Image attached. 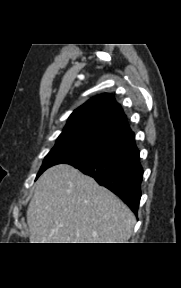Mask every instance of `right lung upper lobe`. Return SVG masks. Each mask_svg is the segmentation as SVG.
Instances as JSON below:
<instances>
[{
	"instance_id": "cb5924a9",
	"label": "right lung upper lobe",
	"mask_w": 181,
	"mask_h": 288,
	"mask_svg": "<svg viewBox=\"0 0 181 288\" xmlns=\"http://www.w3.org/2000/svg\"><path fill=\"white\" fill-rule=\"evenodd\" d=\"M69 139L89 142L112 155L136 147L123 110L108 93L91 98L70 115L57 141Z\"/></svg>"
}]
</instances>
